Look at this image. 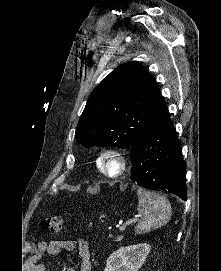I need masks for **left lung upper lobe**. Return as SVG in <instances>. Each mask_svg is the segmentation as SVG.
Instances as JSON below:
<instances>
[{"label":"left lung upper lobe","instance_id":"obj_1","mask_svg":"<svg viewBox=\"0 0 221 271\" xmlns=\"http://www.w3.org/2000/svg\"><path fill=\"white\" fill-rule=\"evenodd\" d=\"M169 115L156 81L135 61L118 66L90 94L76 128L84 147L130 149L138 138Z\"/></svg>","mask_w":221,"mask_h":271}]
</instances>
